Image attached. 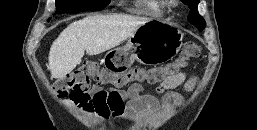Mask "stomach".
<instances>
[{"label":"stomach","mask_w":257,"mask_h":130,"mask_svg":"<svg viewBox=\"0 0 257 130\" xmlns=\"http://www.w3.org/2000/svg\"><path fill=\"white\" fill-rule=\"evenodd\" d=\"M183 34L174 25L150 20L139 26L124 47L110 50L104 61L109 68L120 63L127 67L134 60L151 65L171 60L182 46Z\"/></svg>","instance_id":"1"}]
</instances>
